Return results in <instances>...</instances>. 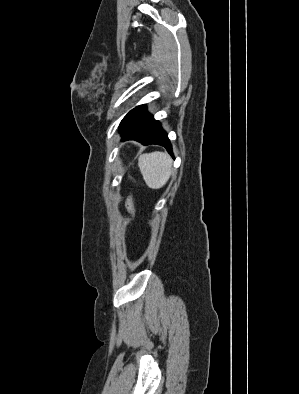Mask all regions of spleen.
Returning <instances> with one entry per match:
<instances>
[{
  "label": "spleen",
  "mask_w": 299,
  "mask_h": 394,
  "mask_svg": "<svg viewBox=\"0 0 299 394\" xmlns=\"http://www.w3.org/2000/svg\"><path fill=\"white\" fill-rule=\"evenodd\" d=\"M138 166L147 186L151 189L162 188L172 173V159L168 154L156 151L141 154Z\"/></svg>",
  "instance_id": "3e777b00"
}]
</instances>
